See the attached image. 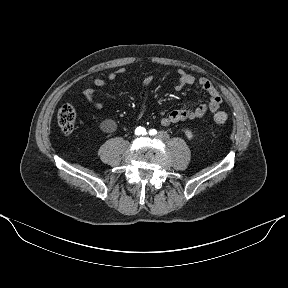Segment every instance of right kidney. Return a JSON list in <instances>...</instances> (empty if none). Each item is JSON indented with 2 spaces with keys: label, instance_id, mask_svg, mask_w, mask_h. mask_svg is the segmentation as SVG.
Masks as SVG:
<instances>
[{
  "label": "right kidney",
  "instance_id": "right-kidney-1",
  "mask_svg": "<svg viewBox=\"0 0 288 288\" xmlns=\"http://www.w3.org/2000/svg\"><path fill=\"white\" fill-rule=\"evenodd\" d=\"M110 127H111V124H110V122H108V121L103 122L102 125H101V128H102L104 131H108V129H109Z\"/></svg>",
  "mask_w": 288,
  "mask_h": 288
}]
</instances>
